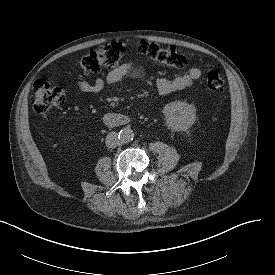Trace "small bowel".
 <instances>
[{
  "label": "small bowel",
  "instance_id": "c3829d8e",
  "mask_svg": "<svg viewBox=\"0 0 275 275\" xmlns=\"http://www.w3.org/2000/svg\"><path fill=\"white\" fill-rule=\"evenodd\" d=\"M141 75L142 71L140 69L131 63H124L111 70L105 77L97 78L93 82H89L85 79H79L77 81V89L80 93H99L107 85L118 83L127 77L138 78ZM200 77L201 70L193 67L186 74L178 76L174 79L158 77L156 79V88L160 94L165 95L190 87Z\"/></svg>",
  "mask_w": 275,
  "mask_h": 275
}]
</instances>
